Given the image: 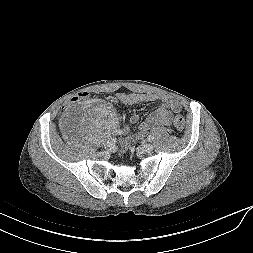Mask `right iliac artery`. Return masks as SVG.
<instances>
[{
	"instance_id": "right-iliac-artery-1",
	"label": "right iliac artery",
	"mask_w": 253,
	"mask_h": 253,
	"mask_svg": "<svg viewBox=\"0 0 253 253\" xmlns=\"http://www.w3.org/2000/svg\"><path fill=\"white\" fill-rule=\"evenodd\" d=\"M114 133H115L116 135H122V134H123V130H121V129H119V128H115Z\"/></svg>"
}]
</instances>
